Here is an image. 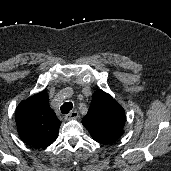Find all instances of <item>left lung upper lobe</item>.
<instances>
[{
  "label": "left lung upper lobe",
  "mask_w": 171,
  "mask_h": 171,
  "mask_svg": "<svg viewBox=\"0 0 171 171\" xmlns=\"http://www.w3.org/2000/svg\"><path fill=\"white\" fill-rule=\"evenodd\" d=\"M125 121L124 109L109 94L97 90L82 123L95 141L111 144L122 136Z\"/></svg>",
  "instance_id": "5c2ea615"
}]
</instances>
